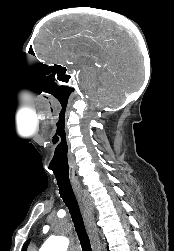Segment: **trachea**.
I'll list each match as a JSON object with an SVG mask.
<instances>
[{
	"mask_svg": "<svg viewBox=\"0 0 174 251\" xmlns=\"http://www.w3.org/2000/svg\"><path fill=\"white\" fill-rule=\"evenodd\" d=\"M59 193L69 209L83 251H92L82 214L70 183L57 182Z\"/></svg>",
	"mask_w": 174,
	"mask_h": 251,
	"instance_id": "obj_1",
	"label": "trachea"
}]
</instances>
